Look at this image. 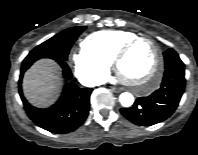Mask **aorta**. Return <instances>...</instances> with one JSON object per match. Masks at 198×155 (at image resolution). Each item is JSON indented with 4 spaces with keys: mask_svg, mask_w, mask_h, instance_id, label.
<instances>
[{
    "mask_svg": "<svg viewBox=\"0 0 198 155\" xmlns=\"http://www.w3.org/2000/svg\"><path fill=\"white\" fill-rule=\"evenodd\" d=\"M119 102L123 107H130L134 103V97L131 93L124 92L120 94Z\"/></svg>",
    "mask_w": 198,
    "mask_h": 155,
    "instance_id": "1",
    "label": "aorta"
}]
</instances>
